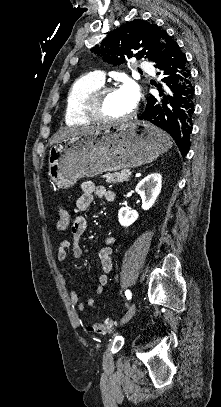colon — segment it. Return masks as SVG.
Wrapping results in <instances>:
<instances>
[{
    "label": "colon",
    "instance_id": "colon-1",
    "mask_svg": "<svg viewBox=\"0 0 221 407\" xmlns=\"http://www.w3.org/2000/svg\"><path fill=\"white\" fill-rule=\"evenodd\" d=\"M71 222V215L69 211L62 208L58 212L57 227L59 231H65ZM116 322L114 320H106L100 323H94L89 326L88 330L97 334H107L114 331Z\"/></svg>",
    "mask_w": 221,
    "mask_h": 407
}]
</instances>
